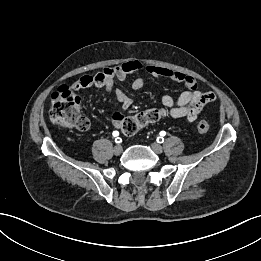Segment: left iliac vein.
<instances>
[{"mask_svg": "<svg viewBox=\"0 0 261 261\" xmlns=\"http://www.w3.org/2000/svg\"><path fill=\"white\" fill-rule=\"evenodd\" d=\"M153 151L157 154H161L163 152V147L160 144L153 143L151 144Z\"/></svg>", "mask_w": 261, "mask_h": 261, "instance_id": "left-iliac-vein-1", "label": "left iliac vein"}]
</instances>
